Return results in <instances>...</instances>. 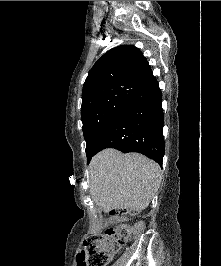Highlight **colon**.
Segmentation results:
<instances>
[{
    "label": "colon",
    "mask_w": 221,
    "mask_h": 266,
    "mask_svg": "<svg viewBox=\"0 0 221 266\" xmlns=\"http://www.w3.org/2000/svg\"><path fill=\"white\" fill-rule=\"evenodd\" d=\"M118 214H127L120 210ZM141 229V223L133 226H122L110 229L104 234L88 238L84 247L85 262L87 266H107L114 255L127 243V241Z\"/></svg>",
    "instance_id": "5ec220e1"
}]
</instances>
